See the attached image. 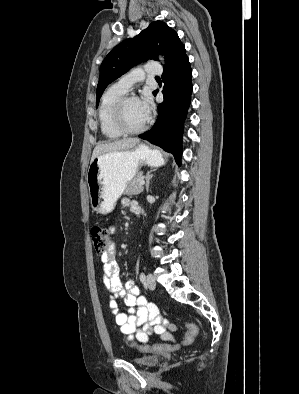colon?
Instances as JSON below:
<instances>
[{"label":"colon","mask_w":299,"mask_h":394,"mask_svg":"<svg viewBox=\"0 0 299 394\" xmlns=\"http://www.w3.org/2000/svg\"><path fill=\"white\" fill-rule=\"evenodd\" d=\"M90 235L94 249L97 252H104L110 244V234L106 226L100 223H96L91 227ZM187 334L183 339V345H190L193 343L195 337L198 334V328L194 324H187ZM167 347V346H166ZM142 350L150 349H162L163 346L153 345V346H141Z\"/></svg>","instance_id":"5ec220e1"}]
</instances>
